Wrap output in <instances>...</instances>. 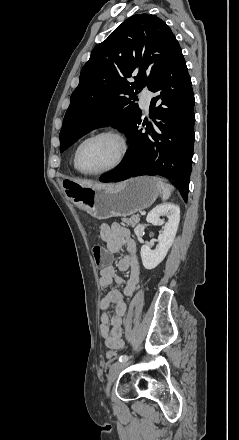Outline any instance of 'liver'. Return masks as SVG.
Returning <instances> with one entry per match:
<instances>
[{"instance_id": "obj_1", "label": "liver", "mask_w": 239, "mask_h": 440, "mask_svg": "<svg viewBox=\"0 0 239 440\" xmlns=\"http://www.w3.org/2000/svg\"><path fill=\"white\" fill-rule=\"evenodd\" d=\"M72 182L82 184V186H88V188H104L105 186V184H92V182H88V180H72Z\"/></svg>"}]
</instances>
